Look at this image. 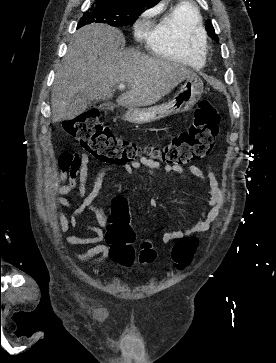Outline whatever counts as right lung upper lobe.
Here are the masks:
<instances>
[{"mask_svg":"<svg viewBox=\"0 0 276 363\" xmlns=\"http://www.w3.org/2000/svg\"><path fill=\"white\" fill-rule=\"evenodd\" d=\"M97 1H110L121 4H146L150 7L158 3L160 0H97Z\"/></svg>","mask_w":276,"mask_h":363,"instance_id":"right-lung-upper-lobe-1","label":"right lung upper lobe"}]
</instances>
